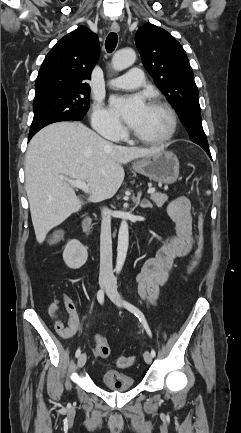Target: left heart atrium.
Masks as SVG:
<instances>
[{
	"mask_svg": "<svg viewBox=\"0 0 241 433\" xmlns=\"http://www.w3.org/2000/svg\"><path fill=\"white\" fill-rule=\"evenodd\" d=\"M111 109L121 117L127 125L134 129L144 117L148 105L141 95L114 96L110 100Z\"/></svg>",
	"mask_w": 241,
	"mask_h": 433,
	"instance_id": "39dd6f15",
	"label": "left heart atrium"
}]
</instances>
